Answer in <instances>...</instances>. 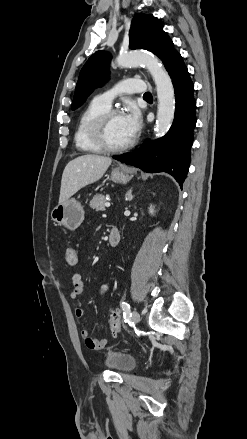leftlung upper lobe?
Returning <instances> with one entry per match:
<instances>
[{
    "label": "left lung upper lobe",
    "instance_id": "1",
    "mask_svg": "<svg viewBox=\"0 0 247 439\" xmlns=\"http://www.w3.org/2000/svg\"><path fill=\"white\" fill-rule=\"evenodd\" d=\"M131 49H145L157 55L168 73L182 59L174 49V44L163 31L161 21L152 14H140L134 17L129 30ZM110 54L97 51L83 66L75 88L72 109L82 105L97 86L103 85L108 78Z\"/></svg>",
    "mask_w": 247,
    "mask_h": 439
}]
</instances>
